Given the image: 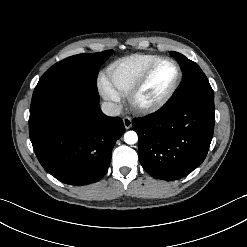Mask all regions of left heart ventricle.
Here are the masks:
<instances>
[{"label": "left heart ventricle", "instance_id": "obj_1", "mask_svg": "<svg viewBox=\"0 0 247 247\" xmlns=\"http://www.w3.org/2000/svg\"><path fill=\"white\" fill-rule=\"evenodd\" d=\"M176 74V67L171 62L158 64L142 88L139 99L149 102L165 94L173 85Z\"/></svg>", "mask_w": 247, "mask_h": 247}]
</instances>
